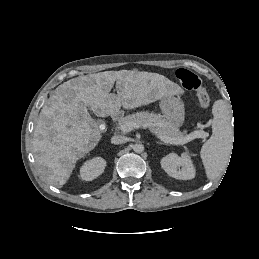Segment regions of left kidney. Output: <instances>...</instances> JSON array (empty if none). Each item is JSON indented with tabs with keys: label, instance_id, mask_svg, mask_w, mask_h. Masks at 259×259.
Instances as JSON below:
<instances>
[{
	"label": "left kidney",
	"instance_id": "left-kidney-1",
	"mask_svg": "<svg viewBox=\"0 0 259 259\" xmlns=\"http://www.w3.org/2000/svg\"><path fill=\"white\" fill-rule=\"evenodd\" d=\"M161 167L171 177L179 180H190L195 177V168L191 157L184 152L181 156L170 153L161 159Z\"/></svg>",
	"mask_w": 259,
	"mask_h": 259
}]
</instances>
